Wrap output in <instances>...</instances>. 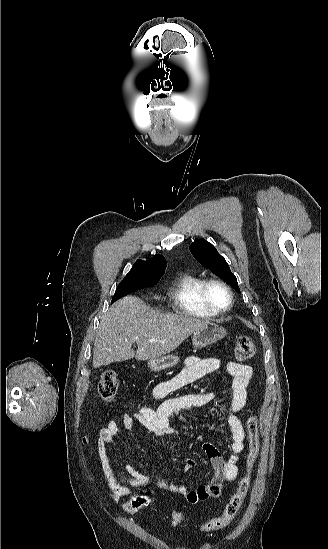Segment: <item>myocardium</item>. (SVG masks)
Returning a JSON list of instances; mask_svg holds the SVG:
<instances>
[{
	"label": "myocardium",
	"instance_id": "myocardium-1",
	"mask_svg": "<svg viewBox=\"0 0 328 549\" xmlns=\"http://www.w3.org/2000/svg\"><path fill=\"white\" fill-rule=\"evenodd\" d=\"M213 287H221L227 291L229 295V303L224 309H217L212 305L210 300V291ZM200 296L202 300V311L215 318L227 315L232 310L235 302V295L232 287L227 282L220 279L207 280L201 289Z\"/></svg>",
	"mask_w": 328,
	"mask_h": 549
}]
</instances>
